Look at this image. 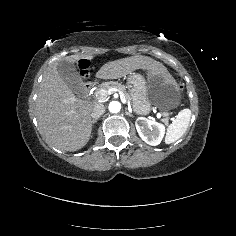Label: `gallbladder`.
Segmentation results:
<instances>
[{"label":"gallbladder","instance_id":"1","mask_svg":"<svg viewBox=\"0 0 236 236\" xmlns=\"http://www.w3.org/2000/svg\"><path fill=\"white\" fill-rule=\"evenodd\" d=\"M60 78L72 89L80 88L81 77L72 61L62 58L56 63Z\"/></svg>","mask_w":236,"mask_h":236}]
</instances>
